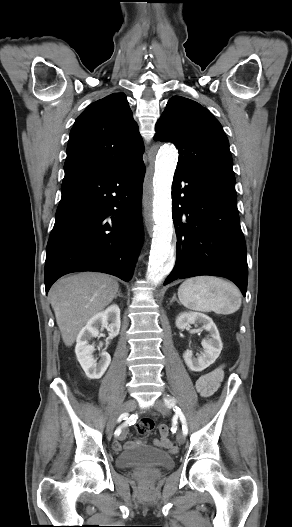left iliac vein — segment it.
Returning <instances> with one entry per match:
<instances>
[{
    "mask_svg": "<svg viewBox=\"0 0 292 527\" xmlns=\"http://www.w3.org/2000/svg\"><path fill=\"white\" fill-rule=\"evenodd\" d=\"M154 408L159 411L160 413H162L163 415H169L170 414V409L169 407H167V405L162 401V400H156L155 403H154ZM186 440V437L185 435L183 434V432H179L177 434V441L180 443V444H183Z\"/></svg>",
    "mask_w": 292,
    "mask_h": 527,
    "instance_id": "4c4485c4",
    "label": "left iliac vein"
}]
</instances>
